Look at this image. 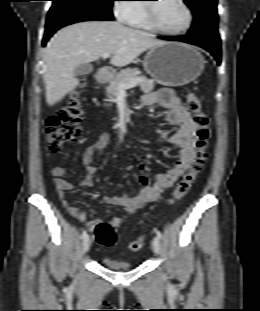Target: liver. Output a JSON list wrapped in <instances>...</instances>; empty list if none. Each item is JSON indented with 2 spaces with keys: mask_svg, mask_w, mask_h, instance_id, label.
Returning <instances> with one entry per match:
<instances>
[{
  "mask_svg": "<svg viewBox=\"0 0 260 311\" xmlns=\"http://www.w3.org/2000/svg\"><path fill=\"white\" fill-rule=\"evenodd\" d=\"M142 30L115 21H85L59 30L45 48L44 82L49 106L61 101L79 84L75 68L112 54L111 64L129 65L147 49L165 44Z\"/></svg>",
  "mask_w": 260,
  "mask_h": 311,
  "instance_id": "liver-1",
  "label": "liver"
}]
</instances>
